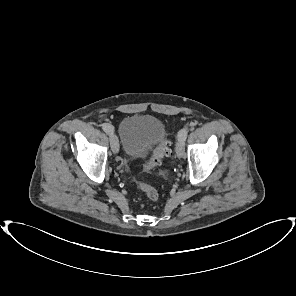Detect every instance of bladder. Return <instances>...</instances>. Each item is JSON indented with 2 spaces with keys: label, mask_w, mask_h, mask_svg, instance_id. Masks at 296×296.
Wrapping results in <instances>:
<instances>
[{
  "label": "bladder",
  "mask_w": 296,
  "mask_h": 296,
  "mask_svg": "<svg viewBox=\"0 0 296 296\" xmlns=\"http://www.w3.org/2000/svg\"><path fill=\"white\" fill-rule=\"evenodd\" d=\"M119 134L124 154L138 158L165 134L163 123L151 115L135 114L124 118L119 126Z\"/></svg>",
  "instance_id": "31cf9c89"
}]
</instances>
